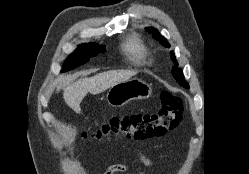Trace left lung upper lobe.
<instances>
[{
    "label": "left lung upper lobe",
    "mask_w": 249,
    "mask_h": 174,
    "mask_svg": "<svg viewBox=\"0 0 249 174\" xmlns=\"http://www.w3.org/2000/svg\"><path fill=\"white\" fill-rule=\"evenodd\" d=\"M146 31H148L149 33H153V37L157 40V41H160V43L169 48L170 47V44L167 42V40L162 36L160 35V33H158V31L152 27H147L146 28ZM171 59L172 61L178 65L177 61H176V58H175V55L174 53L171 52ZM172 74L174 76V78L179 82L180 85H182L183 87L185 88H189V85L188 83L186 82V80L184 79V75L182 73V70L179 69L178 67H173V71H172Z\"/></svg>",
    "instance_id": "1"
}]
</instances>
